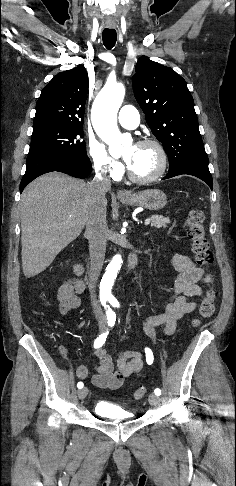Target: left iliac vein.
<instances>
[{
	"label": "left iliac vein",
	"instance_id": "left-iliac-vein-1",
	"mask_svg": "<svg viewBox=\"0 0 236 486\" xmlns=\"http://www.w3.org/2000/svg\"><path fill=\"white\" fill-rule=\"evenodd\" d=\"M148 401L153 406H157V405L160 404V398H159V396L156 395V394H154V393L149 394Z\"/></svg>",
	"mask_w": 236,
	"mask_h": 486
}]
</instances>
